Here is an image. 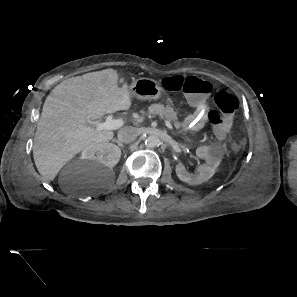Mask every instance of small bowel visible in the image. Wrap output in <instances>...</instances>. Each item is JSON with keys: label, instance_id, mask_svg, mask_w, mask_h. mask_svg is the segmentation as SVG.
I'll return each instance as SVG.
<instances>
[{"label": "small bowel", "instance_id": "small-bowel-1", "mask_svg": "<svg viewBox=\"0 0 297 297\" xmlns=\"http://www.w3.org/2000/svg\"><path fill=\"white\" fill-rule=\"evenodd\" d=\"M193 102L195 107V112L189 116H187L183 122V127L191 130H199L201 129L207 121L208 118V105L205 100H201L199 102Z\"/></svg>", "mask_w": 297, "mask_h": 297}]
</instances>
